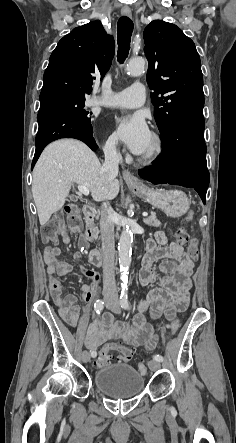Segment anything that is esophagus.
Listing matches in <instances>:
<instances>
[{"mask_svg": "<svg viewBox=\"0 0 236 443\" xmlns=\"http://www.w3.org/2000/svg\"><path fill=\"white\" fill-rule=\"evenodd\" d=\"M121 14L123 16H127V17H131L132 16L131 9L129 7H123L121 9ZM123 178H124L125 182H127V183L136 184V185H141L142 184L128 170H124L123 171Z\"/></svg>", "mask_w": 236, "mask_h": 443, "instance_id": "obj_1", "label": "esophagus"}]
</instances>
